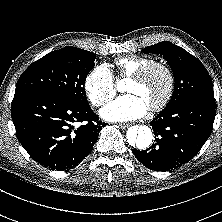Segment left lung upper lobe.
<instances>
[{
    "mask_svg": "<svg viewBox=\"0 0 222 222\" xmlns=\"http://www.w3.org/2000/svg\"><path fill=\"white\" fill-rule=\"evenodd\" d=\"M142 52L162 54L173 71L174 92L165 110L194 98L215 101L209 73L203 64L185 49L163 41L144 48Z\"/></svg>",
    "mask_w": 222,
    "mask_h": 222,
    "instance_id": "1",
    "label": "left lung upper lobe"
}]
</instances>
